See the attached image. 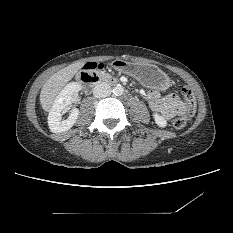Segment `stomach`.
<instances>
[{"instance_id": "0dacf381", "label": "stomach", "mask_w": 233, "mask_h": 233, "mask_svg": "<svg viewBox=\"0 0 233 233\" xmlns=\"http://www.w3.org/2000/svg\"><path fill=\"white\" fill-rule=\"evenodd\" d=\"M112 67L138 80L143 86L166 91L171 86L169 76L155 65L140 64L116 59Z\"/></svg>"}]
</instances>
